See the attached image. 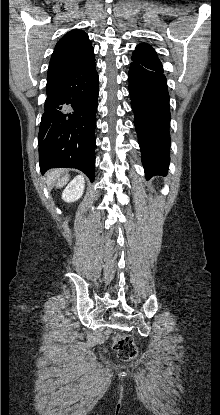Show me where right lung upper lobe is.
<instances>
[{
    "instance_id": "obj_1",
    "label": "right lung upper lobe",
    "mask_w": 220,
    "mask_h": 415,
    "mask_svg": "<svg viewBox=\"0 0 220 415\" xmlns=\"http://www.w3.org/2000/svg\"><path fill=\"white\" fill-rule=\"evenodd\" d=\"M95 60L94 49L88 35L74 29L66 33L56 44L52 54L47 80L80 69Z\"/></svg>"
}]
</instances>
